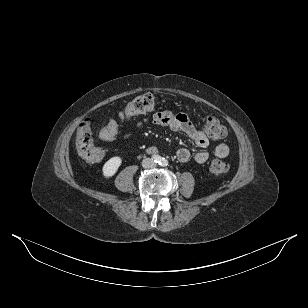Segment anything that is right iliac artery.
Instances as JSON below:
<instances>
[{
    "label": "right iliac artery",
    "mask_w": 308,
    "mask_h": 308,
    "mask_svg": "<svg viewBox=\"0 0 308 308\" xmlns=\"http://www.w3.org/2000/svg\"><path fill=\"white\" fill-rule=\"evenodd\" d=\"M152 160H154V162L156 163H160L161 162V157L158 155H153L152 156Z\"/></svg>",
    "instance_id": "1"
}]
</instances>
